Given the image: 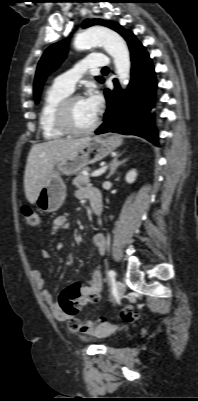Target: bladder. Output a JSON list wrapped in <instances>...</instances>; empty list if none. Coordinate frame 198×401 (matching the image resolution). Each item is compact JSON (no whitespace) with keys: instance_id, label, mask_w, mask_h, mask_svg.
I'll return each mask as SVG.
<instances>
[{"instance_id":"1","label":"bladder","mask_w":198,"mask_h":401,"mask_svg":"<svg viewBox=\"0 0 198 401\" xmlns=\"http://www.w3.org/2000/svg\"><path fill=\"white\" fill-rule=\"evenodd\" d=\"M116 329L111 326L103 327L96 333L98 337H106L112 335Z\"/></svg>"}]
</instances>
